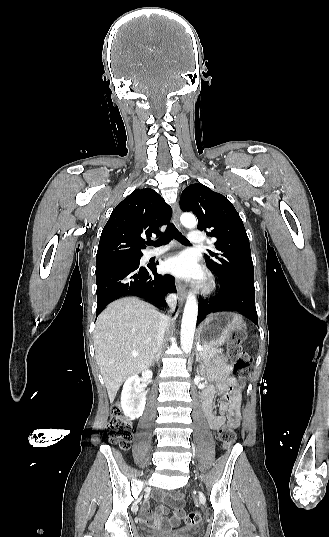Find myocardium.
<instances>
[{
	"mask_svg": "<svg viewBox=\"0 0 329 537\" xmlns=\"http://www.w3.org/2000/svg\"><path fill=\"white\" fill-rule=\"evenodd\" d=\"M216 288V282L212 276H208L201 285L202 293H210Z\"/></svg>",
	"mask_w": 329,
	"mask_h": 537,
	"instance_id": "myocardium-1",
	"label": "myocardium"
}]
</instances>
